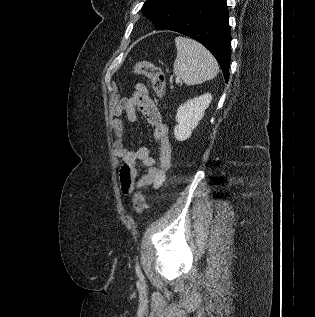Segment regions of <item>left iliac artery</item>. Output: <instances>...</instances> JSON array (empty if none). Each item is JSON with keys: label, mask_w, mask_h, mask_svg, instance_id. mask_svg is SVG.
<instances>
[{"label": "left iliac artery", "mask_w": 315, "mask_h": 317, "mask_svg": "<svg viewBox=\"0 0 315 317\" xmlns=\"http://www.w3.org/2000/svg\"><path fill=\"white\" fill-rule=\"evenodd\" d=\"M135 269H136V273H137V275H138L139 277H141V276H142V274H141V270H140V266H139V264H136Z\"/></svg>", "instance_id": "left-iliac-artery-1"}]
</instances>
